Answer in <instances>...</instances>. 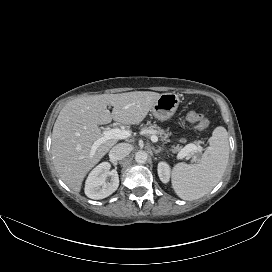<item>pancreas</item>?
<instances>
[{
    "instance_id": "1",
    "label": "pancreas",
    "mask_w": 272,
    "mask_h": 272,
    "mask_svg": "<svg viewBox=\"0 0 272 272\" xmlns=\"http://www.w3.org/2000/svg\"><path fill=\"white\" fill-rule=\"evenodd\" d=\"M142 130L146 133V135H158L163 143H167L168 142L169 133H166L163 129H161L156 124H150V123H148L147 126H144L142 128ZM188 145L189 144H187L186 146H188ZM185 147L182 148V147H180V146L177 145L176 147H174L172 149V152L173 153H179ZM191 154H194V151H192Z\"/></svg>"
}]
</instances>
